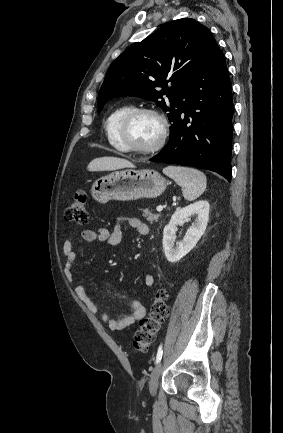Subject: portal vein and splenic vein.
I'll return each instance as SVG.
<instances>
[{"label": "portal vein and splenic vein", "instance_id": "portal-vein-and-splenic-vein-1", "mask_svg": "<svg viewBox=\"0 0 283 433\" xmlns=\"http://www.w3.org/2000/svg\"><path fill=\"white\" fill-rule=\"evenodd\" d=\"M164 206H162V204H159V206H157L156 210H158V212H160V210H163Z\"/></svg>", "mask_w": 283, "mask_h": 433}]
</instances>
